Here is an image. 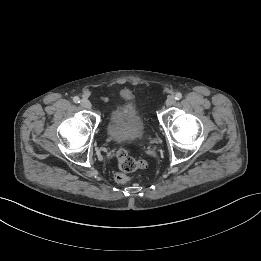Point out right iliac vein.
<instances>
[{
    "label": "right iliac vein",
    "mask_w": 261,
    "mask_h": 261,
    "mask_svg": "<svg viewBox=\"0 0 261 261\" xmlns=\"http://www.w3.org/2000/svg\"><path fill=\"white\" fill-rule=\"evenodd\" d=\"M80 105L83 107V108H86V109H90L91 108V102L86 99V98H83L81 101H80Z\"/></svg>",
    "instance_id": "1"
}]
</instances>
